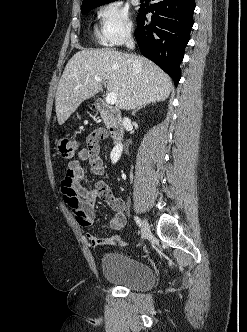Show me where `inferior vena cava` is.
Listing matches in <instances>:
<instances>
[{
	"label": "inferior vena cava",
	"mask_w": 247,
	"mask_h": 332,
	"mask_svg": "<svg viewBox=\"0 0 247 332\" xmlns=\"http://www.w3.org/2000/svg\"><path fill=\"white\" fill-rule=\"evenodd\" d=\"M125 44H126L127 48H129V49H133L134 48V41H133L130 33H128V35H127V39H126V43Z\"/></svg>",
	"instance_id": "inferior-vena-cava-1"
}]
</instances>
